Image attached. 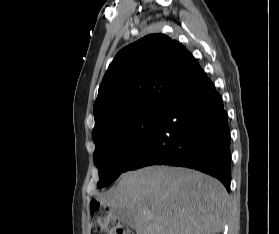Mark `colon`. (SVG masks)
I'll use <instances>...</instances> for the list:
<instances>
[{
  "label": "colon",
  "instance_id": "colon-1",
  "mask_svg": "<svg viewBox=\"0 0 279 234\" xmlns=\"http://www.w3.org/2000/svg\"><path fill=\"white\" fill-rule=\"evenodd\" d=\"M90 226L92 234H133L123 226L108 208L93 202L90 206Z\"/></svg>",
  "mask_w": 279,
  "mask_h": 234
}]
</instances>
